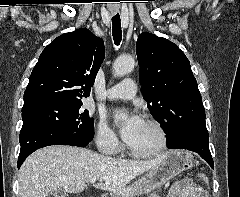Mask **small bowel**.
<instances>
[{
  "label": "small bowel",
  "instance_id": "obj_1",
  "mask_svg": "<svg viewBox=\"0 0 240 197\" xmlns=\"http://www.w3.org/2000/svg\"><path fill=\"white\" fill-rule=\"evenodd\" d=\"M168 197H209L208 192L190 180L175 185Z\"/></svg>",
  "mask_w": 240,
  "mask_h": 197
}]
</instances>
